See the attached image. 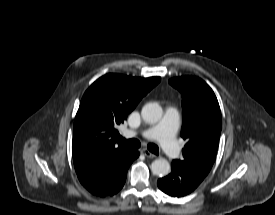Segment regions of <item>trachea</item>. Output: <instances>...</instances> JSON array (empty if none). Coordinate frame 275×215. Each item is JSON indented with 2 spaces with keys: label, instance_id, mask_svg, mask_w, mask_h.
Here are the masks:
<instances>
[{
  "label": "trachea",
  "instance_id": "3493384b",
  "mask_svg": "<svg viewBox=\"0 0 275 215\" xmlns=\"http://www.w3.org/2000/svg\"><path fill=\"white\" fill-rule=\"evenodd\" d=\"M118 140L121 141L123 144H125L126 146L133 148V149H138L141 146V143L139 140L137 139H125L122 136H118ZM148 150L156 155L159 154V148L157 145L150 143L147 146Z\"/></svg>",
  "mask_w": 275,
  "mask_h": 215
}]
</instances>
